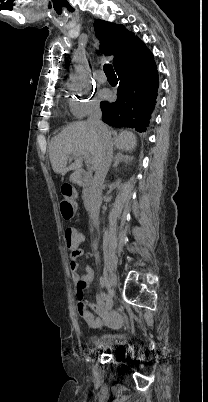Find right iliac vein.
<instances>
[{
	"mask_svg": "<svg viewBox=\"0 0 208 402\" xmlns=\"http://www.w3.org/2000/svg\"><path fill=\"white\" fill-rule=\"evenodd\" d=\"M112 306H113V294L111 293L106 304L107 310L110 311L112 309Z\"/></svg>",
	"mask_w": 208,
	"mask_h": 402,
	"instance_id": "63e3f726",
	"label": "right iliac vein"
}]
</instances>
